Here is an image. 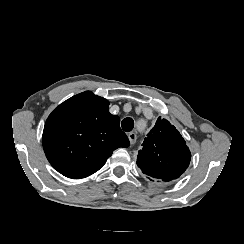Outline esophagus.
Listing matches in <instances>:
<instances>
[{"mask_svg":"<svg viewBox=\"0 0 244 244\" xmlns=\"http://www.w3.org/2000/svg\"><path fill=\"white\" fill-rule=\"evenodd\" d=\"M128 138L130 140V143L134 144L136 142L137 136H136V134L134 132H130L128 134Z\"/></svg>","mask_w":244,"mask_h":244,"instance_id":"esophagus-1","label":"esophagus"}]
</instances>
